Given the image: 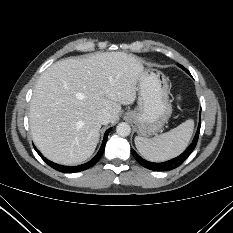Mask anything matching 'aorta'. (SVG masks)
Returning <instances> with one entry per match:
<instances>
[{
    "label": "aorta",
    "instance_id": "aorta-1",
    "mask_svg": "<svg viewBox=\"0 0 233 233\" xmlns=\"http://www.w3.org/2000/svg\"><path fill=\"white\" fill-rule=\"evenodd\" d=\"M116 132L122 137H126L131 133V127L128 123L121 122L116 127Z\"/></svg>",
    "mask_w": 233,
    "mask_h": 233
}]
</instances>
